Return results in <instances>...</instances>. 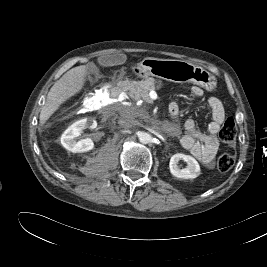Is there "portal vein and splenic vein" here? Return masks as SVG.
I'll use <instances>...</instances> for the list:
<instances>
[{"label":"portal vein and splenic vein","instance_id":"obj_1","mask_svg":"<svg viewBox=\"0 0 267 267\" xmlns=\"http://www.w3.org/2000/svg\"><path fill=\"white\" fill-rule=\"evenodd\" d=\"M149 96H150V98H151L152 100L157 99V94L154 93L153 91L149 94Z\"/></svg>","mask_w":267,"mask_h":267}]
</instances>
